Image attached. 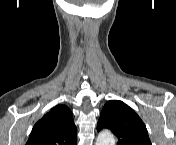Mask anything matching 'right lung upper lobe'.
Listing matches in <instances>:
<instances>
[{
    "label": "right lung upper lobe",
    "instance_id": "cb5924a9",
    "mask_svg": "<svg viewBox=\"0 0 176 145\" xmlns=\"http://www.w3.org/2000/svg\"><path fill=\"white\" fill-rule=\"evenodd\" d=\"M77 129L65 105L51 109L33 127L27 145H75Z\"/></svg>",
    "mask_w": 176,
    "mask_h": 145
}]
</instances>
